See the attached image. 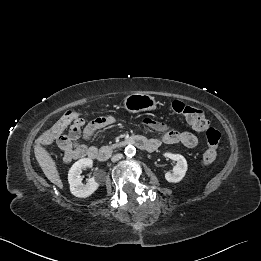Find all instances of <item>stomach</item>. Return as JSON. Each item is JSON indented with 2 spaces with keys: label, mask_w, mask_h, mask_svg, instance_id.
I'll return each mask as SVG.
<instances>
[{
  "label": "stomach",
  "mask_w": 261,
  "mask_h": 261,
  "mask_svg": "<svg viewBox=\"0 0 261 261\" xmlns=\"http://www.w3.org/2000/svg\"><path fill=\"white\" fill-rule=\"evenodd\" d=\"M156 105L157 102L153 96L139 93L128 95L123 102V107L131 113L154 110Z\"/></svg>",
  "instance_id": "0dacf381"
}]
</instances>
